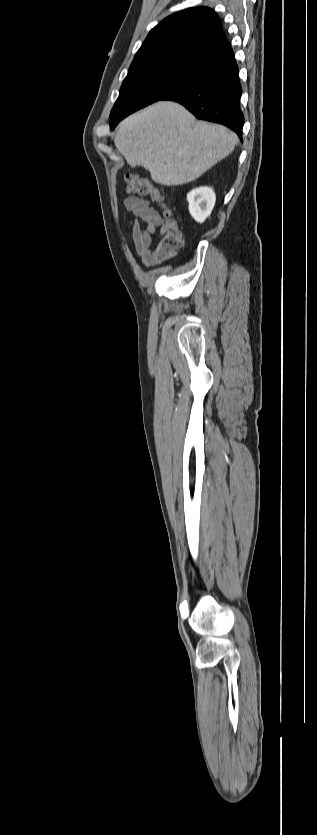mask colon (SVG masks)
Segmentation results:
<instances>
[{"instance_id": "1", "label": "colon", "mask_w": 317, "mask_h": 835, "mask_svg": "<svg viewBox=\"0 0 317 835\" xmlns=\"http://www.w3.org/2000/svg\"><path fill=\"white\" fill-rule=\"evenodd\" d=\"M127 191L140 196L149 197L152 201L160 204L166 216L164 234L160 240L157 250L165 258L172 257L183 245V233L177 222L170 217V211L166 206L163 192L154 187L146 178L128 174L125 177Z\"/></svg>"}]
</instances>
